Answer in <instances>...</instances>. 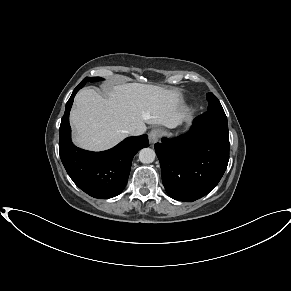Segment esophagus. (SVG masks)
Instances as JSON below:
<instances>
[{
	"label": "esophagus",
	"instance_id": "obj_1",
	"mask_svg": "<svg viewBox=\"0 0 291 291\" xmlns=\"http://www.w3.org/2000/svg\"><path fill=\"white\" fill-rule=\"evenodd\" d=\"M162 133H163V131L159 128H155V129L151 130V132L149 133L150 143L151 144L156 143L160 139Z\"/></svg>",
	"mask_w": 291,
	"mask_h": 291
}]
</instances>
